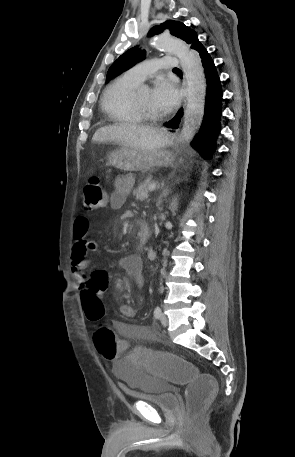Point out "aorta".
<instances>
[{
    "instance_id": "762f6f07",
    "label": "aorta",
    "mask_w": 295,
    "mask_h": 457,
    "mask_svg": "<svg viewBox=\"0 0 295 457\" xmlns=\"http://www.w3.org/2000/svg\"><path fill=\"white\" fill-rule=\"evenodd\" d=\"M151 44L158 49L172 51L180 60L188 92L181 136L184 140H189L194 136L204 115L206 80L201 59L184 41L169 34L154 37Z\"/></svg>"
}]
</instances>
